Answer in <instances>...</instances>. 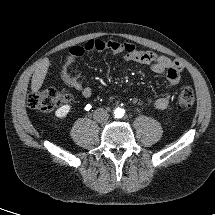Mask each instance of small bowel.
Returning a JSON list of instances; mask_svg holds the SVG:
<instances>
[{"label": "small bowel", "instance_id": "c3829d8e", "mask_svg": "<svg viewBox=\"0 0 215 215\" xmlns=\"http://www.w3.org/2000/svg\"><path fill=\"white\" fill-rule=\"evenodd\" d=\"M104 50H110L114 53H124L125 60L148 65L153 72L164 75L165 85L168 89L174 88L179 82L183 65L177 60H172L164 55H157L151 51L140 50L131 43L90 40L82 46H74L70 49L62 72L64 81L79 91L85 98L92 96V89L84 87L80 83L78 75L71 71V66L76 59L88 53L102 52ZM149 101L151 100L149 99ZM171 101V94H166L151 102H153L156 109L164 110L170 105Z\"/></svg>", "mask_w": 215, "mask_h": 215}]
</instances>
